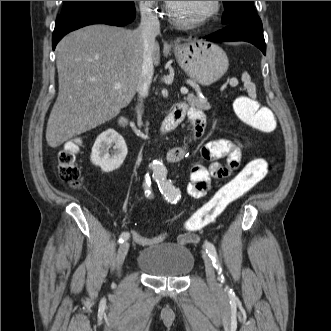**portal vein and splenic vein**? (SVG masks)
Instances as JSON below:
<instances>
[{
	"instance_id": "portal-vein-and-splenic-vein-1",
	"label": "portal vein and splenic vein",
	"mask_w": 331,
	"mask_h": 331,
	"mask_svg": "<svg viewBox=\"0 0 331 331\" xmlns=\"http://www.w3.org/2000/svg\"><path fill=\"white\" fill-rule=\"evenodd\" d=\"M114 88L115 89H120L121 84L120 83H115ZM180 91H181L182 94H187L188 93V89L186 87H181Z\"/></svg>"
}]
</instances>
